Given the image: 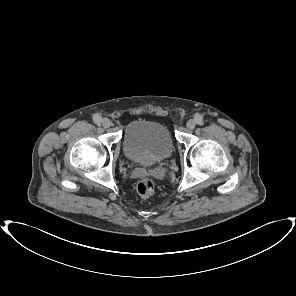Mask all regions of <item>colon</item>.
Masks as SVG:
<instances>
[{"label":"colon","instance_id":"colon-1","mask_svg":"<svg viewBox=\"0 0 296 296\" xmlns=\"http://www.w3.org/2000/svg\"><path fill=\"white\" fill-rule=\"evenodd\" d=\"M138 193L143 197H150L155 191L154 182L150 178H144L137 185Z\"/></svg>","mask_w":296,"mask_h":296}]
</instances>
